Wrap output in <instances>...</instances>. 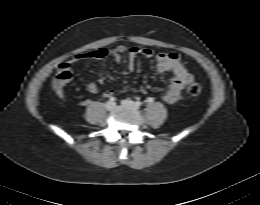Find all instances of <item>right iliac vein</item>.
<instances>
[{"label":"right iliac vein","instance_id":"63e3f726","mask_svg":"<svg viewBox=\"0 0 260 205\" xmlns=\"http://www.w3.org/2000/svg\"><path fill=\"white\" fill-rule=\"evenodd\" d=\"M114 107H115V103H113V102H107L105 104V109L106 110H112Z\"/></svg>","mask_w":260,"mask_h":205}]
</instances>
